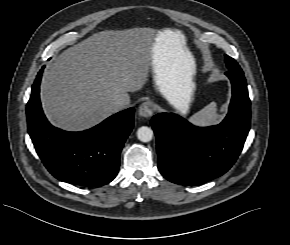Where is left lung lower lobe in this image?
Returning a JSON list of instances; mask_svg holds the SVG:
<instances>
[{
    "instance_id": "0a47b994",
    "label": "left lung lower lobe",
    "mask_w": 290,
    "mask_h": 245,
    "mask_svg": "<svg viewBox=\"0 0 290 245\" xmlns=\"http://www.w3.org/2000/svg\"><path fill=\"white\" fill-rule=\"evenodd\" d=\"M226 75L232 99L219 125L196 127L174 113L152 118L158 169L169 181L199 185L227 172L238 158L250 129V99L243 71L228 70Z\"/></svg>"
}]
</instances>
